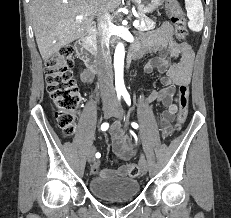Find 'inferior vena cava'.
<instances>
[{
	"mask_svg": "<svg viewBox=\"0 0 231 218\" xmlns=\"http://www.w3.org/2000/svg\"><path fill=\"white\" fill-rule=\"evenodd\" d=\"M110 15L104 13L98 17V52H97V70L98 81L101 96L103 99H113L115 97L113 86V75L110 55Z\"/></svg>",
	"mask_w": 231,
	"mask_h": 218,
	"instance_id": "inferior-vena-cava-1",
	"label": "inferior vena cava"
}]
</instances>
